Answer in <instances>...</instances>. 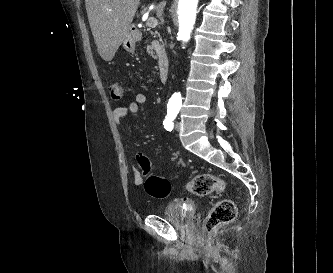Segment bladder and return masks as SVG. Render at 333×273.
<instances>
[{
    "label": "bladder",
    "mask_w": 333,
    "mask_h": 273,
    "mask_svg": "<svg viewBox=\"0 0 333 273\" xmlns=\"http://www.w3.org/2000/svg\"><path fill=\"white\" fill-rule=\"evenodd\" d=\"M161 214L176 227H188L195 219V206L188 201L176 200L166 205Z\"/></svg>",
    "instance_id": "31cf9c89"
}]
</instances>
